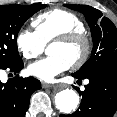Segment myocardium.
<instances>
[{"mask_svg": "<svg viewBox=\"0 0 117 117\" xmlns=\"http://www.w3.org/2000/svg\"><path fill=\"white\" fill-rule=\"evenodd\" d=\"M51 44H61L66 46L80 45L82 47V52L79 58L71 64V67L74 69L82 67L91 55V40L85 32L73 31L59 35L51 40Z\"/></svg>", "mask_w": 117, "mask_h": 117, "instance_id": "f54148a6", "label": "myocardium"}]
</instances>
